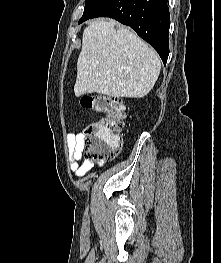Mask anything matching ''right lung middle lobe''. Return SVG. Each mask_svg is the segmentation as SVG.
<instances>
[{
  "instance_id": "dd1d6c3e",
  "label": "right lung middle lobe",
  "mask_w": 221,
  "mask_h": 263,
  "mask_svg": "<svg viewBox=\"0 0 221 263\" xmlns=\"http://www.w3.org/2000/svg\"><path fill=\"white\" fill-rule=\"evenodd\" d=\"M108 0H86L84 13L79 23L93 16Z\"/></svg>"
}]
</instances>
